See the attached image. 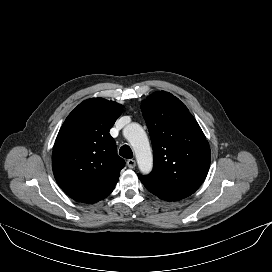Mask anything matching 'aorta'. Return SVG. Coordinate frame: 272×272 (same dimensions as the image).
Listing matches in <instances>:
<instances>
[{
    "label": "aorta",
    "instance_id": "aorta-1",
    "mask_svg": "<svg viewBox=\"0 0 272 272\" xmlns=\"http://www.w3.org/2000/svg\"><path fill=\"white\" fill-rule=\"evenodd\" d=\"M124 136L133 147L140 171L148 174L153 167V156L146 132L138 123H131L125 127Z\"/></svg>",
    "mask_w": 272,
    "mask_h": 272
}]
</instances>
